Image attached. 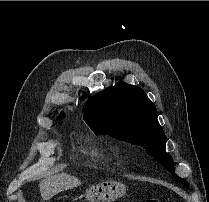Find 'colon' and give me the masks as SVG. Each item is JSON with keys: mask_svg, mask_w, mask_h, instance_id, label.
Instances as JSON below:
<instances>
[{"mask_svg": "<svg viewBox=\"0 0 209 202\" xmlns=\"http://www.w3.org/2000/svg\"><path fill=\"white\" fill-rule=\"evenodd\" d=\"M145 202H159V201L156 199H147Z\"/></svg>", "mask_w": 209, "mask_h": 202, "instance_id": "colon-1", "label": "colon"}]
</instances>
